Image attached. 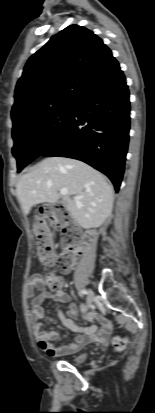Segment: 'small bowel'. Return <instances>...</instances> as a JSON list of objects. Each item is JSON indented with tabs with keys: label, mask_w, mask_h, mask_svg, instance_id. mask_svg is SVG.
Segmentation results:
<instances>
[{
	"label": "small bowel",
	"mask_w": 155,
	"mask_h": 413,
	"mask_svg": "<svg viewBox=\"0 0 155 413\" xmlns=\"http://www.w3.org/2000/svg\"><path fill=\"white\" fill-rule=\"evenodd\" d=\"M72 265L66 270L68 272ZM39 288L41 294L34 296V290ZM26 296L29 299V318L32 324L33 336L37 342L38 347L50 356H65L73 354L83 348L85 345L92 342H106L111 333V324L107 319L100 317L96 313H87L85 316V325L78 326L74 322L77 316V309L74 304H70L66 312L59 310L57 316L64 326L77 332L78 335L75 340L67 345H54L52 341L57 339L58 332L43 331L41 325L43 323L45 312L42 304L49 299H55L59 302H69L68 294L62 290L51 291L48 290L44 284L41 275H33L26 288ZM82 306V310L85 311ZM99 323V326L95 324Z\"/></svg>",
	"instance_id": "c3829d8e"
}]
</instances>
